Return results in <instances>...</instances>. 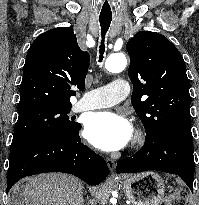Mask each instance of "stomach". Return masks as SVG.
<instances>
[{
    "instance_id": "0dacf381",
    "label": "stomach",
    "mask_w": 199,
    "mask_h": 205,
    "mask_svg": "<svg viewBox=\"0 0 199 205\" xmlns=\"http://www.w3.org/2000/svg\"><path fill=\"white\" fill-rule=\"evenodd\" d=\"M122 186L133 205H159L165 194L164 181L151 171L126 175Z\"/></svg>"
}]
</instances>
